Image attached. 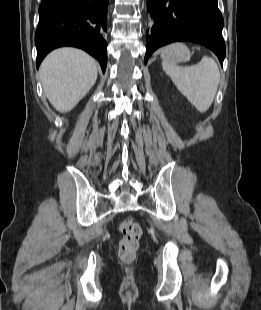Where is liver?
<instances>
[{
    "label": "liver",
    "mask_w": 261,
    "mask_h": 310,
    "mask_svg": "<svg viewBox=\"0 0 261 310\" xmlns=\"http://www.w3.org/2000/svg\"><path fill=\"white\" fill-rule=\"evenodd\" d=\"M96 61L82 50L61 48L40 66L42 86L53 107L66 113L89 92L97 80Z\"/></svg>",
    "instance_id": "1"
}]
</instances>
